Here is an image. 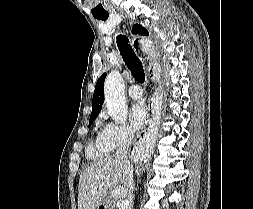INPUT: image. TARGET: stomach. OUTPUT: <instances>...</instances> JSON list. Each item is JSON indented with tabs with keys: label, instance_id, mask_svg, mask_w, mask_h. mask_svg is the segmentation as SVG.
<instances>
[{
	"label": "stomach",
	"instance_id": "stomach-1",
	"mask_svg": "<svg viewBox=\"0 0 253 209\" xmlns=\"http://www.w3.org/2000/svg\"><path fill=\"white\" fill-rule=\"evenodd\" d=\"M97 209H111V208H110V202H109V201H106V202L100 204V205L97 207Z\"/></svg>",
	"mask_w": 253,
	"mask_h": 209
}]
</instances>
